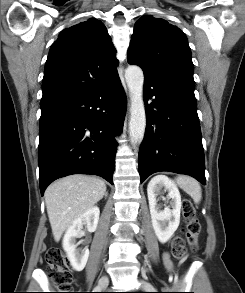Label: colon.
I'll list each match as a JSON object with an SVG mask.
<instances>
[{
	"instance_id": "colon-1",
	"label": "colon",
	"mask_w": 245,
	"mask_h": 293,
	"mask_svg": "<svg viewBox=\"0 0 245 293\" xmlns=\"http://www.w3.org/2000/svg\"><path fill=\"white\" fill-rule=\"evenodd\" d=\"M182 213L186 222V229L172 241V252L178 259H182L185 255L186 241L192 250L197 249L198 238L201 232L200 222L196 218L195 209L189 200L182 202ZM46 262L50 278L57 287L68 288L71 286L73 274L61 249L52 248L48 250Z\"/></svg>"
}]
</instances>
